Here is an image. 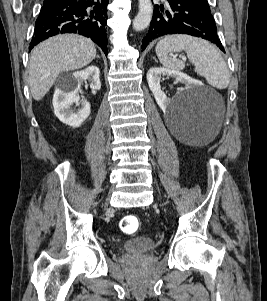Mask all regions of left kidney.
Returning a JSON list of instances; mask_svg holds the SVG:
<instances>
[{
  "instance_id": "5707ae66",
  "label": "left kidney",
  "mask_w": 267,
  "mask_h": 301,
  "mask_svg": "<svg viewBox=\"0 0 267 301\" xmlns=\"http://www.w3.org/2000/svg\"><path fill=\"white\" fill-rule=\"evenodd\" d=\"M162 76H170L173 77L176 81L181 82L185 85L183 90L189 91L194 86L198 84V81L192 79L188 75L171 69L153 67L147 72V81L150 90L152 91L155 100L159 107L165 111L170 107L173 102V99L168 98L165 93L161 90L160 87V79Z\"/></svg>"
}]
</instances>
